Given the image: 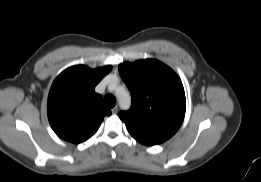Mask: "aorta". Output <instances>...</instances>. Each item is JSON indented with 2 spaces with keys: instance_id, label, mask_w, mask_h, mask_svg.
I'll return each mask as SVG.
<instances>
[{
  "instance_id": "762f6f07",
  "label": "aorta",
  "mask_w": 261,
  "mask_h": 182,
  "mask_svg": "<svg viewBox=\"0 0 261 182\" xmlns=\"http://www.w3.org/2000/svg\"><path fill=\"white\" fill-rule=\"evenodd\" d=\"M116 97L118 99V103L121 109L128 110L131 106V96L128 93V91L122 87L119 86L116 88Z\"/></svg>"
}]
</instances>
